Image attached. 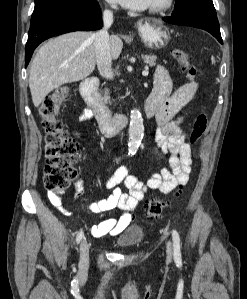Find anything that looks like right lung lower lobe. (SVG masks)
Here are the masks:
<instances>
[{"label":"right lung lower lobe","instance_id":"right-lung-lower-lobe-1","mask_svg":"<svg viewBox=\"0 0 247 299\" xmlns=\"http://www.w3.org/2000/svg\"><path fill=\"white\" fill-rule=\"evenodd\" d=\"M101 10L97 1L56 12L30 25L25 48V67L33 51L44 40L72 31H89L102 28Z\"/></svg>","mask_w":247,"mask_h":299}]
</instances>
